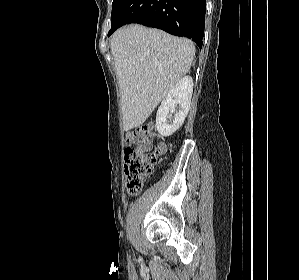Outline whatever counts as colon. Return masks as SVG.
<instances>
[{
    "label": "colon",
    "mask_w": 299,
    "mask_h": 280,
    "mask_svg": "<svg viewBox=\"0 0 299 280\" xmlns=\"http://www.w3.org/2000/svg\"><path fill=\"white\" fill-rule=\"evenodd\" d=\"M153 136L152 126H142L129 131L125 137L126 189L130 195H137L141 192L159 161L160 149L152 152L143 151V147L150 142Z\"/></svg>",
    "instance_id": "1"
}]
</instances>
